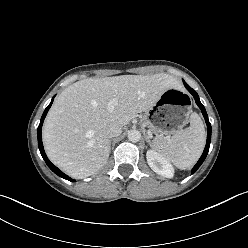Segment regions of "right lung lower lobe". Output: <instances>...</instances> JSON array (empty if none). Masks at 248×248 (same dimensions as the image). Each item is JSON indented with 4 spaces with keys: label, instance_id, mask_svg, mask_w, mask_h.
Listing matches in <instances>:
<instances>
[{
    "label": "right lung lower lobe",
    "instance_id": "right-lung-lower-lobe-1",
    "mask_svg": "<svg viewBox=\"0 0 248 248\" xmlns=\"http://www.w3.org/2000/svg\"><path fill=\"white\" fill-rule=\"evenodd\" d=\"M53 100H54V97L52 98V101L51 103L49 104V106L45 109L42 117H41V121H40V124L38 126V130H37V136H38V147H39V150H40V153L44 159V161L46 162V164L48 165V167L55 173L57 174L58 176L64 178V179H67L69 181H74L73 179H71L70 177H68L67 175H65L62 171H60L56 166H54L50 160L47 158L46 154H45V151H44V148H43V144H42V125H43V121L45 119V116L48 112V110L50 109L52 103H53Z\"/></svg>",
    "mask_w": 248,
    "mask_h": 248
}]
</instances>
